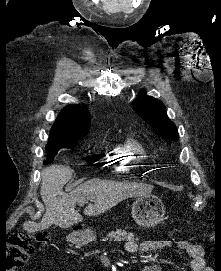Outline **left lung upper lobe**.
I'll use <instances>...</instances> for the list:
<instances>
[{
  "mask_svg": "<svg viewBox=\"0 0 221 271\" xmlns=\"http://www.w3.org/2000/svg\"><path fill=\"white\" fill-rule=\"evenodd\" d=\"M133 106L137 113L162 137L173 141L179 139L177 128L166 115V108L162 102L147 96L142 91L133 101Z\"/></svg>",
  "mask_w": 221,
  "mask_h": 271,
  "instance_id": "left-lung-upper-lobe-1",
  "label": "left lung upper lobe"
}]
</instances>
